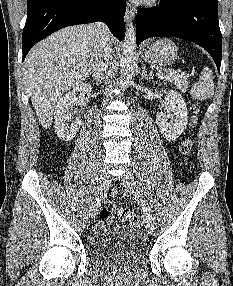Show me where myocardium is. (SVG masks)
Segmentation results:
<instances>
[{
  "instance_id": "myocardium-1",
  "label": "myocardium",
  "mask_w": 233,
  "mask_h": 286,
  "mask_svg": "<svg viewBox=\"0 0 233 286\" xmlns=\"http://www.w3.org/2000/svg\"><path fill=\"white\" fill-rule=\"evenodd\" d=\"M141 2L148 5H153L159 2V0H141Z\"/></svg>"
}]
</instances>
